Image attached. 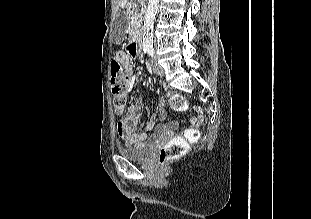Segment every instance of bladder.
<instances>
[{"label":"bladder","instance_id":"31cf9c89","mask_svg":"<svg viewBox=\"0 0 311 219\" xmlns=\"http://www.w3.org/2000/svg\"><path fill=\"white\" fill-rule=\"evenodd\" d=\"M118 153L129 160L143 161L150 155L151 149L145 145L142 146H118Z\"/></svg>","mask_w":311,"mask_h":219}]
</instances>
